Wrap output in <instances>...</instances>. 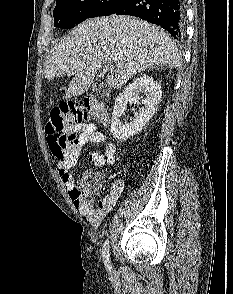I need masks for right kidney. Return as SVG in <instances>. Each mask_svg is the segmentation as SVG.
<instances>
[{
  "label": "right kidney",
  "instance_id": "right-kidney-1",
  "mask_svg": "<svg viewBox=\"0 0 233 294\" xmlns=\"http://www.w3.org/2000/svg\"><path fill=\"white\" fill-rule=\"evenodd\" d=\"M144 94L145 97L140 96ZM162 97L159 83L147 74H141L129 84L116 98L111 118V133L118 140L138 134L157 110ZM142 103L139 113H135L130 123H122L119 118L126 110L127 103Z\"/></svg>",
  "mask_w": 233,
  "mask_h": 294
}]
</instances>
